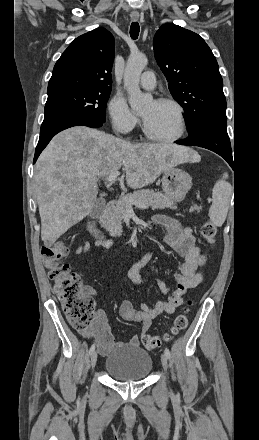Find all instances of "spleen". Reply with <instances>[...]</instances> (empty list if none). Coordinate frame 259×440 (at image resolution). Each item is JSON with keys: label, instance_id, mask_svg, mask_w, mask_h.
<instances>
[{"label": "spleen", "instance_id": "1", "mask_svg": "<svg viewBox=\"0 0 259 440\" xmlns=\"http://www.w3.org/2000/svg\"><path fill=\"white\" fill-rule=\"evenodd\" d=\"M228 174L224 173L221 180L217 181L212 190V205L209 209L211 222L220 227L223 225L232 196V186L227 181Z\"/></svg>", "mask_w": 259, "mask_h": 440}]
</instances>
